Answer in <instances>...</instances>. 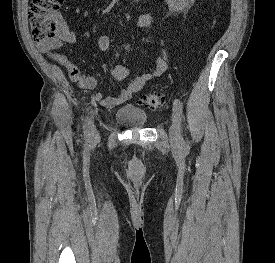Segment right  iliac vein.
I'll return each instance as SVG.
<instances>
[{"mask_svg": "<svg viewBox=\"0 0 275 263\" xmlns=\"http://www.w3.org/2000/svg\"><path fill=\"white\" fill-rule=\"evenodd\" d=\"M99 140V133L96 130V128L93 126L92 128V134H91V141L92 142H97Z\"/></svg>", "mask_w": 275, "mask_h": 263, "instance_id": "right-iliac-vein-1", "label": "right iliac vein"}]
</instances>
